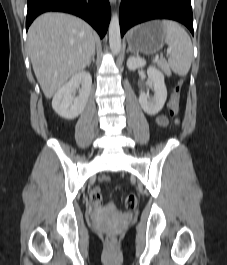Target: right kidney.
Returning a JSON list of instances; mask_svg holds the SVG:
<instances>
[{
    "label": "right kidney",
    "instance_id": "1",
    "mask_svg": "<svg viewBox=\"0 0 227 265\" xmlns=\"http://www.w3.org/2000/svg\"><path fill=\"white\" fill-rule=\"evenodd\" d=\"M81 85L80 93L75 97V91ZM92 77L89 72L81 71L64 84L54 95L52 107L62 118L74 119L84 110L91 91Z\"/></svg>",
    "mask_w": 227,
    "mask_h": 265
}]
</instances>
